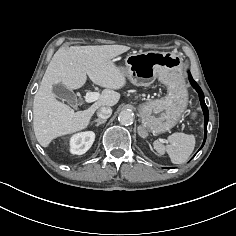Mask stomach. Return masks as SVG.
<instances>
[{"label": "stomach", "mask_w": 236, "mask_h": 236, "mask_svg": "<svg viewBox=\"0 0 236 236\" xmlns=\"http://www.w3.org/2000/svg\"><path fill=\"white\" fill-rule=\"evenodd\" d=\"M120 69L134 85L149 86L156 78L167 85L168 93L163 99L145 102L139 106L144 129L160 134L175 126L188 103L179 58L165 52L134 51L127 55L125 66Z\"/></svg>", "instance_id": "0dacf381"}]
</instances>
